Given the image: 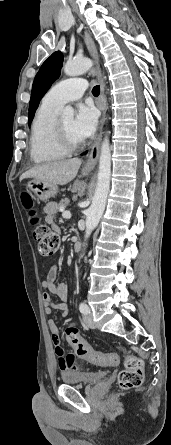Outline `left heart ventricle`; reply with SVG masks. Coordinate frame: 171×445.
I'll return each instance as SVG.
<instances>
[{"label":"left heart ventricle","mask_w":171,"mask_h":445,"mask_svg":"<svg viewBox=\"0 0 171 445\" xmlns=\"http://www.w3.org/2000/svg\"><path fill=\"white\" fill-rule=\"evenodd\" d=\"M61 126L64 129L67 137L72 141V142H80L82 141L74 132L73 129V119L69 118V119H61L60 120Z\"/></svg>","instance_id":"obj_1"}]
</instances>
